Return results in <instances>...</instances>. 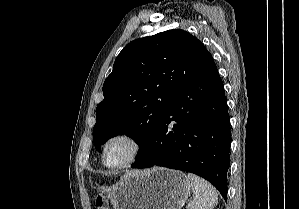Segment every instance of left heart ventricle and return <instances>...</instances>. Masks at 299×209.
I'll use <instances>...</instances> for the list:
<instances>
[{
    "mask_svg": "<svg viewBox=\"0 0 299 209\" xmlns=\"http://www.w3.org/2000/svg\"><path fill=\"white\" fill-rule=\"evenodd\" d=\"M131 153V145L125 140H115L107 148L106 162L117 166L124 163Z\"/></svg>",
    "mask_w": 299,
    "mask_h": 209,
    "instance_id": "b2bd125f",
    "label": "left heart ventricle"
}]
</instances>
